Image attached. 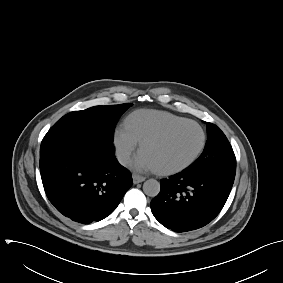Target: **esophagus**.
Returning <instances> with one entry per match:
<instances>
[{
    "label": "esophagus",
    "instance_id": "34e87169",
    "mask_svg": "<svg viewBox=\"0 0 283 283\" xmlns=\"http://www.w3.org/2000/svg\"><path fill=\"white\" fill-rule=\"evenodd\" d=\"M132 178H133L134 184L141 183L145 180V177L135 174V173L132 175Z\"/></svg>",
    "mask_w": 283,
    "mask_h": 283
}]
</instances>
